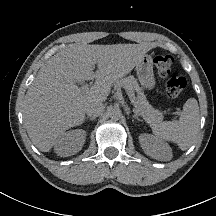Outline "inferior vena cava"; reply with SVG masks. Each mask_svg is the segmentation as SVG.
<instances>
[{
    "instance_id": "inferior-vena-cava-1",
    "label": "inferior vena cava",
    "mask_w": 216,
    "mask_h": 216,
    "mask_svg": "<svg viewBox=\"0 0 216 216\" xmlns=\"http://www.w3.org/2000/svg\"><path fill=\"white\" fill-rule=\"evenodd\" d=\"M104 109L105 107L102 102L93 101L86 106L85 112L90 117H98L103 113Z\"/></svg>"
}]
</instances>
